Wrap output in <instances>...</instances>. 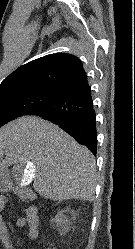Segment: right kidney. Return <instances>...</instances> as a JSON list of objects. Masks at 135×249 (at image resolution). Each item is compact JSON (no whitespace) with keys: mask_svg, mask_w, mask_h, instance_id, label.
Returning a JSON list of instances; mask_svg holds the SVG:
<instances>
[{"mask_svg":"<svg viewBox=\"0 0 135 249\" xmlns=\"http://www.w3.org/2000/svg\"><path fill=\"white\" fill-rule=\"evenodd\" d=\"M65 211H60L57 213V215L51 220L52 224H56V226L59 228V230L65 234L70 229V219L68 216L64 214ZM66 212H69L67 209ZM62 228V229H61Z\"/></svg>","mask_w":135,"mask_h":249,"instance_id":"1","label":"right kidney"}]
</instances>
